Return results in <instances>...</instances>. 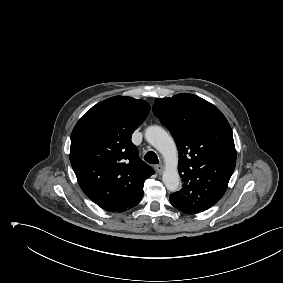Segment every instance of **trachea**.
<instances>
[{"label": "trachea", "mask_w": 283, "mask_h": 283, "mask_svg": "<svg viewBox=\"0 0 283 283\" xmlns=\"http://www.w3.org/2000/svg\"><path fill=\"white\" fill-rule=\"evenodd\" d=\"M144 160L150 164H158L159 160L155 152L153 151H148L145 156Z\"/></svg>", "instance_id": "trachea-1"}]
</instances>
